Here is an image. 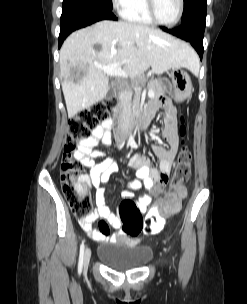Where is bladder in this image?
<instances>
[{
  "label": "bladder",
  "instance_id": "obj_1",
  "mask_svg": "<svg viewBox=\"0 0 247 304\" xmlns=\"http://www.w3.org/2000/svg\"><path fill=\"white\" fill-rule=\"evenodd\" d=\"M97 256L108 268L126 272L144 267L152 259L153 250L149 246L121 239L102 243Z\"/></svg>",
  "mask_w": 247,
  "mask_h": 304
}]
</instances>
